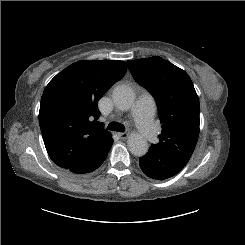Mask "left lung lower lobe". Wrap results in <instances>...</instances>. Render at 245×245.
Returning a JSON list of instances; mask_svg holds the SVG:
<instances>
[{
    "instance_id": "1",
    "label": "left lung lower lobe",
    "mask_w": 245,
    "mask_h": 245,
    "mask_svg": "<svg viewBox=\"0 0 245 245\" xmlns=\"http://www.w3.org/2000/svg\"><path fill=\"white\" fill-rule=\"evenodd\" d=\"M139 165L148 177L157 180L170 178L178 174L185 166L167 153L152 147L139 159Z\"/></svg>"
}]
</instances>
